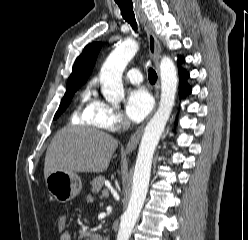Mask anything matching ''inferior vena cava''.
I'll list each match as a JSON object with an SVG mask.
<instances>
[{
	"instance_id": "obj_1",
	"label": "inferior vena cava",
	"mask_w": 248,
	"mask_h": 240,
	"mask_svg": "<svg viewBox=\"0 0 248 240\" xmlns=\"http://www.w3.org/2000/svg\"><path fill=\"white\" fill-rule=\"evenodd\" d=\"M129 123L127 122L126 125L123 126V128H125Z\"/></svg>"
}]
</instances>
